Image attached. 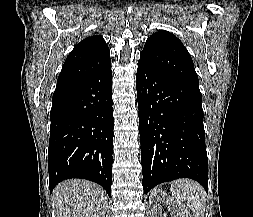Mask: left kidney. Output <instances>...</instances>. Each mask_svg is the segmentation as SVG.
Instances as JSON below:
<instances>
[{"label":"left kidney","instance_id":"left-kidney-1","mask_svg":"<svg viewBox=\"0 0 253 217\" xmlns=\"http://www.w3.org/2000/svg\"><path fill=\"white\" fill-rule=\"evenodd\" d=\"M151 202L153 204L155 217H167L165 213H162L163 205L168 206V209L173 214V217H192L185 205L179 204L163 190H155L153 196H151Z\"/></svg>","mask_w":253,"mask_h":217}]
</instances>
